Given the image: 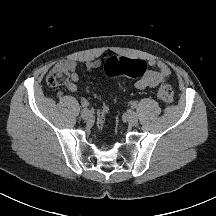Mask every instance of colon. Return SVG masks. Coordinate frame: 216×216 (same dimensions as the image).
<instances>
[{
  "label": "colon",
  "mask_w": 216,
  "mask_h": 216,
  "mask_svg": "<svg viewBox=\"0 0 216 216\" xmlns=\"http://www.w3.org/2000/svg\"><path fill=\"white\" fill-rule=\"evenodd\" d=\"M106 74L109 77L127 76L140 77L146 70V64L142 60L128 59L124 57L111 58L105 65ZM68 76L67 69L63 63H57L50 71L47 82L51 87H59L66 82ZM158 98L165 104L173 102L174 95L172 88L167 84L159 86L157 91ZM110 107L104 103L98 110L97 120L103 126L108 118Z\"/></svg>",
  "instance_id": "1"
}]
</instances>
